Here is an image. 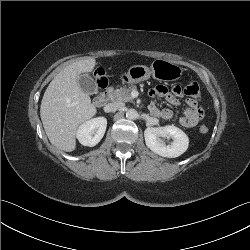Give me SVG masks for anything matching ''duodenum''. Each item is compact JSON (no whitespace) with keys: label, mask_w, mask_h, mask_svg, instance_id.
<instances>
[{"label":"duodenum","mask_w":250,"mask_h":250,"mask_svg":"<svg viewBox=\"0 0 250 250\" xmlns=\"http://www.w3.org/2000/svg\"><path fill=\"white\" fill-rule=\"evenodd\" d=\"M109 100V91H105L101 94H99L97 97H96V104L97 105H104L105 103H107Z\"/></svg>","instance_id":"obj_1"}]
</instances>
